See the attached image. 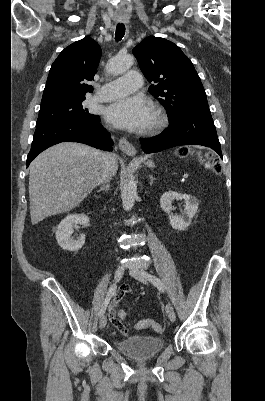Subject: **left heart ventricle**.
Listing matches in <instances>:
<instances>
[{
	"instance_id": "obj_1",
	"label": "left heart ventricle",
	"mask_w": 265,
	"mask_h": 401,
	"mask_svg": "<svg viewBox=\"0 0 265 401\" xmlns=\"http://www.w3.org/2000/svg\"><path fill=\"white\" fill-rule=\"evenodd\" d=\"M152 118H153V113H152V115H151V118H150V122H149V124L151 123V121H152Z\"/></svg>"
}]
</instances>
